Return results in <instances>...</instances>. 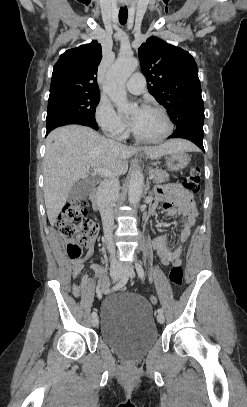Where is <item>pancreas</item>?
<instances>
[{
    "instance_id": "pancreas-1",
    "label": "pancreas",
    "mask_w": 247,
    "mask_h": 407,
    "mask_svg": "<svg viewBox=\"0 0 247 407\" xmlns=\"http://www.w3.org/2000/svg\"><path fill=\"white\" fill-rule=\"evenodd\" d=\"M149 172H150V174L154 175L153 182L156 184L163 183V182L167 181L169 178V174L160 168L150 169Z\"/></svg>"
}]
</instances>
